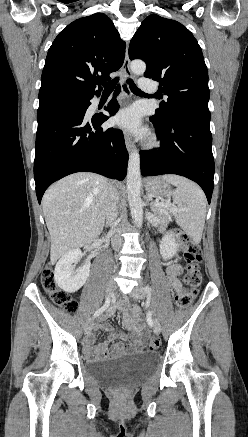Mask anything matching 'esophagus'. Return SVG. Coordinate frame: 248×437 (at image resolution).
<instances>
[{"mask_svg": "<svg viewBox=\"0 0 248 437\" xmlns=\"http://www.w3.org/2000/svg\"><path fill=\"white\" fill-rule=\"evenodd\" d=\"M123 73H124V77L122 78V82H121L122 91L126 98H130L131 92L127 80L132 77V73L130 70V59L128 55V49H126L125 59L123 63ZM124 138H125L126 148L128 152H131L133 150V142L131 140V137L127 133H125Z\"/></svg>", "mask_w": 248, "mask_h": 437, "instance_id": "obj_1", "label": "esophagus"}]
</instances>
